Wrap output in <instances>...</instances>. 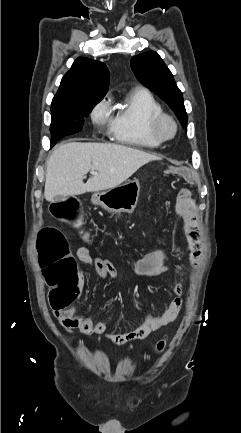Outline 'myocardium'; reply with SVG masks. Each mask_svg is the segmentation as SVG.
Wrapping results in <instances>:
<instances>
[{"label": "myocardium", "instance_id": "f54148a6", "mask_svg": "<svg viewBox=\"0 0 241 433\" xmlns=\"http://www.w3.org/2000/svg\"><path fill=\"white\" fill-rule=\"evenodd\" d=\"M169 125L171 130L165 133L164 127ZM151 134L161 142L172 140L178 132V124L176 120L167 113H160L154 116L149 124Z\"/></svg>", "mask_w": 241, "mask_h": 433}]
</instances>
